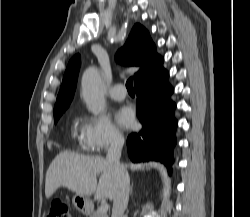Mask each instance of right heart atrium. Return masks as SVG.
<instances>
[{"instance_id":"d8ad5b80","label":"right heart atrium","mask_w":250,"mask_h":217,"mask_svg":"<svg viewBox=\"0 0 250 217\" xmlns=\"http://www.w3.org/2000/svg\"><path fill=\"white\" fill-rule=\"evenodd\" d=\"M82 146L95 154L117 147L123 142V134L106 114L85 116L80 129Z\"/></svg>"}]
</instances>
